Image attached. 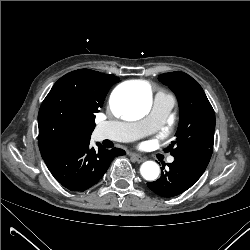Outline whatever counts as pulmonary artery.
I'll list each match as a JSON object with an SVG mask.
<instances>
[{"label":"pulmonary artery","instance_id":"e3ab8cb5","mask_svg":"<svg viewBox=\"0 0 250 250\" xmlns=\"http://www.w3.org/2000/svg\"><path fill=\"white\" fill-rule=\"evenodd\" d=\"M173 106L174 99L163 92H159L155 95L151 112L146 118L136 122H103L97 128V139L130 142L153 133L164 124ZM168 161L174 162V157H169Z\"/></svg>","mask_w":250,"mask_h":250}]
</instances>
